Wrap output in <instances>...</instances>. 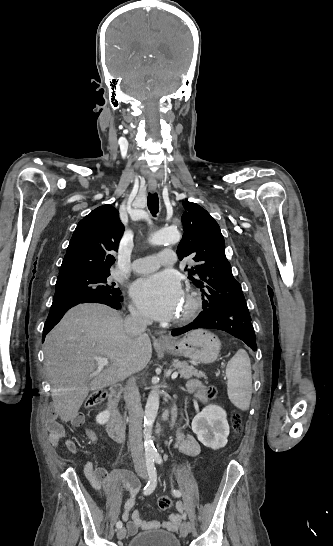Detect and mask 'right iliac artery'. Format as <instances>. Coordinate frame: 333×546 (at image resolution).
Segmentation results:
<instances>
[{
  "label": "right iliac artery",
  "instance_id": "obj_1",
  "mask_svg": "<svg viewBox=\"0 0 333 546\" xmlns=\"http://www.w3.org/2000/svg\"><path fill=\"white\" fill-rule=\"evenodd\" d=\"M154 458L153 457H147L146 458V467H147V473H148V477H149V480H148V483L147 485L144 487V490H143V493L145 495H149L151 494L156 485H157V473H156V468H155V464H154ZM123 524L121 521H118L117 524H116V527L117 528H122Z\"/></svg>",
  "mask_w": 333,
  "mask_h": 546
}]
</instances>
